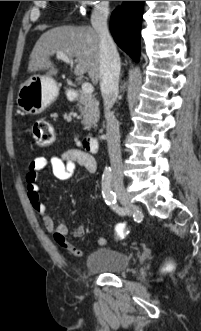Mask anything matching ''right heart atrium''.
I'll list each match as a JSON object with an SVG mask.
<instances>
[{
  "label": "right heart atrium",
  "instance_id": "1",
  "mask_svg": "<svg viewBox=\"0 0 201 331\" xmlns=\"http://www.w3.org/2000/svg\"><path fill=\"white\" fill-rule=\"evenodd\" d=\"M81 16L87 19H101L108 15L110 1H79Z\"/></svg>",
  "mask_w": 201,
  "mask_h": 331
}]
</instances>
